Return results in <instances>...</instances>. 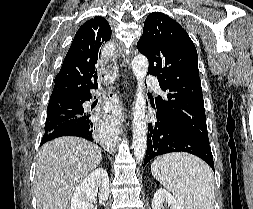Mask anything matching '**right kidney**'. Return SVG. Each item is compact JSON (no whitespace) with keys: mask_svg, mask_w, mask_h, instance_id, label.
<instances>
[{"mask_svg":"<svg viewBox=\"0 0 253 209\" xmlns=\"http://www.w3.org/2000/svg\"><path fill=\"white\" fill-rule=\"evenodd\" d=\"M97 195L100 201L109 197V177L103 168L94 170L80 182L71 198L70 209H92Z\"/></svg>","mask_w":253,"mask_h":209,"instance_id":"1","label":"right kidney"}]
</instances>
